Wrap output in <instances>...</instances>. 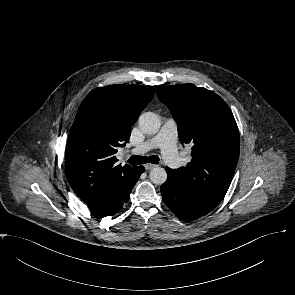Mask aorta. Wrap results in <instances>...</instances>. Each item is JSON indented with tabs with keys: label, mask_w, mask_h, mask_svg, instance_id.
<instances>
[{
	"label": "aorta",
	"mask_w": 295,
	"mask_h": 295,
	"mask_svg": "<svg viewBox=\"0 0 295 295\" xmlns=\"http://www.w3.org/2000/svg\"><path fill=\"white\" fill-rule=\"evenodd\" d=\"M139 127L146 134H155L161 126L160 118L153 112H145L139 117ZM152 183L162 185L167 180V172L164 168L156 166L149 174Z\"/></svg>",
	"instance_id": "obj_1"
}]
</instances>
